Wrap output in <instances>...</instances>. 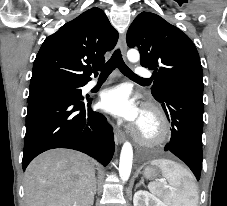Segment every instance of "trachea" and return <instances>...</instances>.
I'll return each instance as SVG.
<instances>
[{
	"instance_id": "trachea-1",
	"label": "trachea",
	"mask_w": 227,
	"mask_h": 206,
	"mask_svg": "<svg viewBox=\"0 0 227 206\" xmlns=\"http://www.w3.org/2000/svg\"><path fill=\"white\" fill-rule=\"evenodd\" d=\"M118 68L124 75H126L127 77L133 79V80H138V81H147V79L138 77L137 75H135L128 67L127 65L124 63L123 59H122V55H121V51L119 49H117L112 57L109 59L108 62H106L103 65H97L94 67V69L96 70H100V78H106L108 77L111 72L115 69Z\"/></svg>"
}]
</instances>
